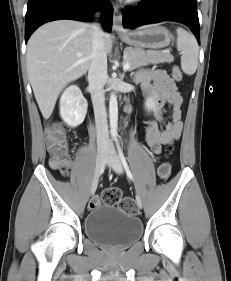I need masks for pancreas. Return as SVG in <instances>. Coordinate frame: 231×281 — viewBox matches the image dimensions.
<instances>
[{
	"instance_id": "cf45deb5",
	"label": "pancreas",
	"mask_w": 231,
	"mask_h": 281,
	"mask_svg": "<svg viewBox=\"0 0 231 281\" xmlns=\"http://www.w3.org/2000/svg\"><path fill=\"white\" fill-rule=\"evenodd\" d=\"M174 57L166 52L127 47L124 49V62L130 63V71L141 66L159 63H171Z\"/></svg>"
}]
</instances>
